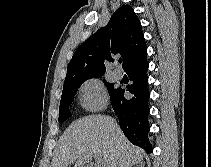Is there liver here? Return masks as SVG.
I'll list each match as a JSON object with an SVG mask.
<instances>
[{
  "instance_id": "liver-1",
  "label": "liver",
  "mask_w": 211,
  "mask_h": 167,
  "mask_svg": "<svg viewBox=\"0 0 211 167\" xmlns=\"http://www.w3.org/2000/svg\"><path fill=\"white\" fill-rule=\"evenodd\" d=\"M98 155L104 167H132L140 163L144 150L133 146L115 120L108 116L91 115L73 122L60 137L51 167H83Z\"/></svg>"
}]
</instances>
